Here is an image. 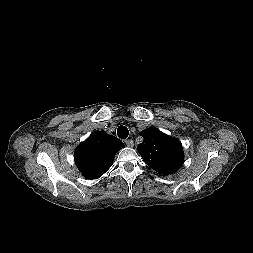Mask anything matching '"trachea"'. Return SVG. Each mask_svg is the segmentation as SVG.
Returning <instances> with one entry per match:
<instances>
[{"label":"trachea","mask_w":253,"mask_h":253,"mask_svg":"<svg viewBox=\"0 0 253 253\" xmlns=\"http://www.w3.org/2000/svg\"><path fill=\"white\" fill-rule=\"evenodd\" d=\"M117 135L121 139H126L129 135V131L125 126H119L117 129Z\"/></svg>","instance_id":"3493384b"}]
</instances>
